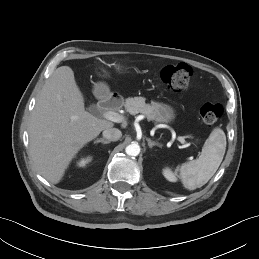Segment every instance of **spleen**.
Returning <instances> with one entry per match:
<instances>
[{"label":"spleen","instance_id":"obj_1","mask_svg":"<svg viewBox=\"0 0 259 259\" xmlns=\"http://www.w3.org/2000/svg\"><path fill=\"white\" fill-rule=\"evenodd\" d=\"M226 150V135L220 128H214L205 141L199 158L183 163L179 176L183 186L195 190L205 185L219 168Z\"/></svg>","mask_w":259,"mask_h":259}]
</instances>
